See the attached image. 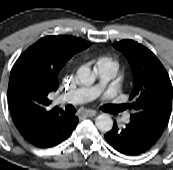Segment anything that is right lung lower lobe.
<instances>
[{
  "label": "right lung lower lobe",
  "mask_w": 173,
  "mask_h": 170,
  "mask_svg": "<svg viewBox=\"0 0 173 170\" xmlns=\"http://www.w3.org/2000/svg\"><path fill=\"white\" fill-rule=\"evenodd\" d=\"M77 123L76 116L63 112L18 130L32 145L39 148H49L66 140L76 128Z\"/></svg>",
  "instance_id": "obj_1"
}]
</instances>
